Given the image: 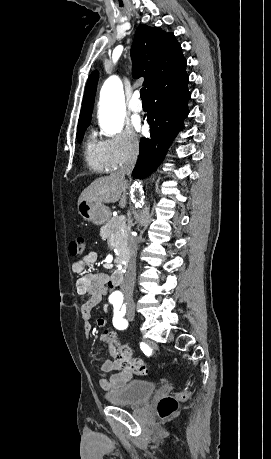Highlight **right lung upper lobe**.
Returning <instances> with one entry per match:
<instances>
[{
  "label": "right lung upper lobe",
  "instance_id": "1",
  "mask_svg": "<svg viewBox=\"0 0 271 459\" xmlns=\"http://www.w3.org/2000/svg\"><path fill=\"white\" fill-rule=\"evenodd\" d=\"M133 77H144L148 94L175 74L185 71L186 60L173 33L145 24L138 26L132 45ZM98 74L93 72L86 85L79 121L91 120ZM78 121V122H79Z\"/></svg>",
  "mask_w": 271,
  "mask_h": 459
}]
</instances>
